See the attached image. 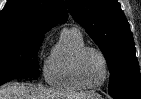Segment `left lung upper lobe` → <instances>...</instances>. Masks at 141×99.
Returning a JSON list of instances; mask_svg holds the SVG:
<instances>
[{
    "instance_id": "5c2ea615",
    "label": "left lung upper lobe",
    "mask_w": 141,
    "mask_h": 99,
    "mask_svg": "<svg viewBox=\"0 0 141 99\" xmlns=\"http://www.w3.org/2000/svg\"><path fill=\"white\" fill-rule=\"evenodd\" d=\"M72 17L96 42L110 71L109 92H141L130 25L117 0H66Z\"/></svg>"
}]
</instances>
